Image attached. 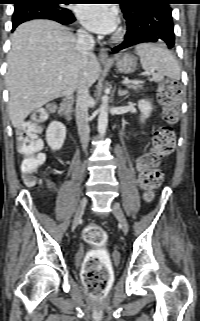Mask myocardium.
<instances>
[{
  "mask_svg": "<svg viewBox=\"0 0 200 321\" xmlns=\"http://www.w3.org/2000/svg\"><path fill=\"white\" fill-rule=\"evenodd\" d=\"M122 38V33H119V34H117L116 36H115V40H119V39H121Z\"/></svg>",
  "mask_w": 200,
  "mask_h": 321,
  "instance_id": "myocardium-1",
  "label": "myocardium"
}]
</instances>
